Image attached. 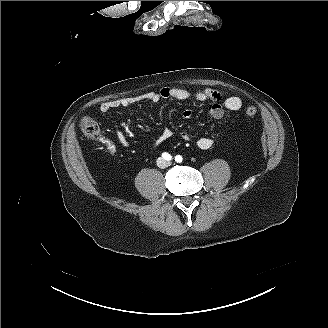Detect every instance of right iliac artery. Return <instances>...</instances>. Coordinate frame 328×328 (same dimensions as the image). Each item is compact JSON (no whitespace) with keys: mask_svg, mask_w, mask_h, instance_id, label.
<instances>
[{"mask_svg":"<svg viewBox=\"0 0 328 328\" xmlns=\"http://www.w3.org/2000/svg\"><path fill=\"white\" fill-rule=\"evenodd\" d=\"M162 157L165 159V160H171L172 159V156L169 154V153H166L164 152L162 154Z\"/></svg>","mask_w":328,"mask_h":328,"instance_id":"right-iliac-artery-1","label":"right iliac artery"}]
</instances>
